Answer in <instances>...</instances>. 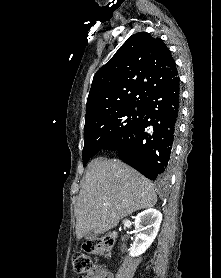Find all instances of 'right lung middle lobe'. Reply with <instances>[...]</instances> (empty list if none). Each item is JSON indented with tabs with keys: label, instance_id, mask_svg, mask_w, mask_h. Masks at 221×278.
<instances>
[{
	"label": "right lung middle lobe",
	"instance_id": "dd1d6c3e",
	"mask_svg": "<svg viewBox=\"0 0 221 278\" xmlns=\"http://www.w3.org/2000/svg\"><path fill=\"white\" fill-rule=\"evenodd\" d=\"M144 115V102H138L119 108L107 116L86 121L83 165L106 145L120 141L141 122Z\"/></svg>",
	"mask_w": 221,
	"mask_h": 278
}]
</instances>
